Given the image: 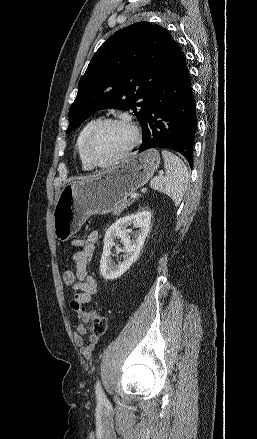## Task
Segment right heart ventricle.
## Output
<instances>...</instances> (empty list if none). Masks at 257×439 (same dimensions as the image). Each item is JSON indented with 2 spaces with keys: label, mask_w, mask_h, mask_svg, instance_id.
I'll use <instances>...</instances> for the list:
<instances>
[{
  "label": "right heart ventricle",
  "mask_w": 257,
  "mask_h": 439,
  "mask_svg": "<svg viewBox=\"0 0 257 439\" xmlns=\"http://www.w3.org/2000/svg\"><path fill=\"white\" fill-rule=\"evenodd\" d=\"M97 123L96 120H90L88 121L79 131L76 139V149L78 152V156L82 165V168L86 171H90L92 169V166L88 163L84 156L83 146H84V140L88 134V132L91 130V128Z\"/></svg>",
  "instance_id": "obj_1"
}]
</instances>
